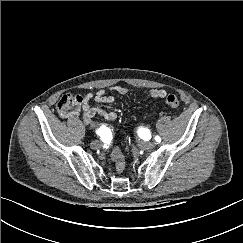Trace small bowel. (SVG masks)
Returning a JSON list of instances; mask_svg holds the SVG:
<instances>
[{"mask_svg":"<svg viewBox=\"0 0 243 243\" xmlns=\"http://www.w3.org/2000/svg\"><path fill=\"white\" fill-rule=\"evenodd\" d=\"M110 90L122 95L134 92V90L122 86H113L110 88ZM144 95L152 98H162L166 95V92L163 89H151L145 92ZM93 100L100 106L92 107L90 103ZM113 102L114 96L107 95L104 90H99L95 94L87 93L83 97L81 109L72 114V116H77L81 111L83 115V121L88 126H93L92 119L95 115L102 116L108 122L114 121L117 117L116 113L107 109V107ZM111 135L112 133L110 128L103 127V137L106 140H109L111 138Z\"/></svg>","mask_w":243,"mask_h":243,"instance_id":"c3829d8e","label":"small bowel"}]
</instances>
